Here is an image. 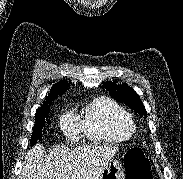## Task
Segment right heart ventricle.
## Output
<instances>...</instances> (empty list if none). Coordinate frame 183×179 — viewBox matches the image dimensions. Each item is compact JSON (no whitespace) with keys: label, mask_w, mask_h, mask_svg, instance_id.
<instances>
[{"label":"right heart ventricle","mask_w":183,"mask_h":179,"mask_svg":"<svg viewBox=\"0 0 183 179\" xmlns=\"http://www.w3.org/2000/svg\"><path fill=\"white\" fill-rule=\"evenodd\" d=\"M80 126L92 141H125L134 132L129 113L105 96L95 98L85 107Z\"/></svg>","instance_id":"obj_1"}]
</instances>
